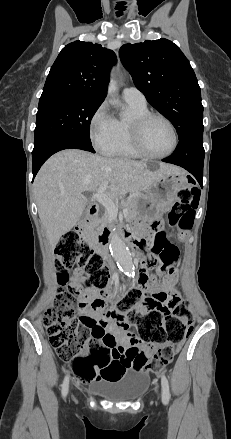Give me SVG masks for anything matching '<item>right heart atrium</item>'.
Here are the masks:
<instances>
[{
  "label": "right heart atrium",
  "instance_id": "d8ad5b80",
  "mask_svg": "<svg viewBox=\"0 0 231 439\" xmlns=\"http://www.w3.org/2000/svg\"><path fill=\"white\" fill-rule=\"evenodd\" d=\"M113 117L105 102L93 112L89 120V137L95 148L102 150L113 139Z\"/></svg>",
  "mask_w": 231,
  "mask_h": 439
}]
</instances>
